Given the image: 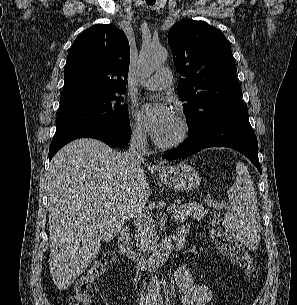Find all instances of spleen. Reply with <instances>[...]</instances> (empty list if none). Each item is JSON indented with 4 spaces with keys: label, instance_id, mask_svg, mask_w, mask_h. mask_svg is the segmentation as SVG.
Listing matches in <instances>:
<instances>
[{
    "label": "spleen",
    "instance_id": "1",
    "mask_svg": "<svg viewBox=\"0 0 297 305\" xmlns=\"http://www.w3.org/2000/svg\"><path fill=\"white\" fill-rule=\"evenodd\" d=\"M231 208L224 217L226 227L245 244L257 249L260 242V216L250 173L242 162L236 165V180L227 191Z\"/></svg>",
    "mask_w": 297,
    "mask_h": 305
}]
</instances>
